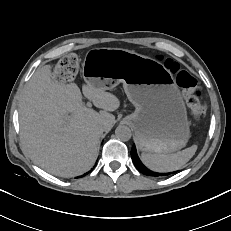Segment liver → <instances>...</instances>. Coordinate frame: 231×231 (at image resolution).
Segmentation results:
<instances>
[{
	"instance_id": "6515ba94",
	"label": "liver",
	"mask_w": 231,
	"mask_h": 231,
	"mask_svg": "<svg viewBox=\"0 0 231 231\" xmlns=\"http://www.w3.org/2000/svg\"><path fill=\"white\" fill-rule=\"evenodd\" d=\"M51 69V65L38 69L22 92V144L30 158L48 173L74 177L95 163L101 135L115 124V116L109 112L118 109L120 101L85 80L84 96L102 110L87 108L79 87L73 82H58Z\"/></svg>"
}]
</instances>
